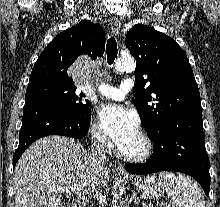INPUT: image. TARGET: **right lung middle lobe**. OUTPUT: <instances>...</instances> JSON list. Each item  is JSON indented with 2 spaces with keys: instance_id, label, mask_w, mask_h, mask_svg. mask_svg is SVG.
<instances>
[{
  "instance_id": "right-lung-middle-lobe-1",
  "label": "right lung middle lobe",
  "mask_w": 220,
  "mask_h": 207,
  "mask_svg": "<svg viewBox=\"0 0 220 207\" xmlns=\"http://www.w3.org/2000/svg\"><path fill=\"white\" fill-rule=\"evenodd\" d=\"M74 85H67L52 81H41L28 85L25 95V103L41 101L69 113L76 115H88L91 110L90 103L82 101L83 92L76 91Z\"/></svg>"
}]
</instances>
